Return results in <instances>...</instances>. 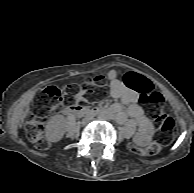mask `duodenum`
<instances>
[{"instance_id":"obj_1","label":"duodenum","mask_w":194,"mask_h":193,"mask_svg":"<svg viewBox=\"0 0 194 193\" xmlns=\"http://www.w3.org/2000/svg\"><path fill=\"white\" fill-rule=\"evenodd\" d=\"M63 113L66 115H83V114H95V115H100L104 116V112L98 111V110H90L82 106L78 105H69L64 107Z\"/></svg>"}]
</instances>
